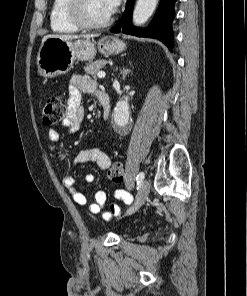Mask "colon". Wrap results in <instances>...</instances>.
<instances>
[{
    "label": "colon",
    "instance_id": "1",
    "mask_svg": "<svg viewBox=\"0 0 247 296\" xmlns=\"http://www.w3.org/2000/svg\"><path fill=\"white\" fill-rule=\"evenodd\" d=\"M66 116V107L62 100L58 97H49L43 107L42 117L47 125H52L60 122ZM109 178L117 184L124 181V167L120 161H115L109 171Z\"/></svg>",
    "mask_w": 247,
    "mask_h": 296
}]
</instances>
